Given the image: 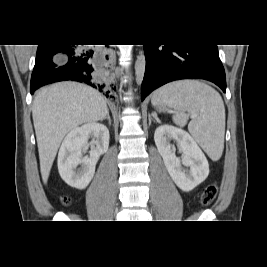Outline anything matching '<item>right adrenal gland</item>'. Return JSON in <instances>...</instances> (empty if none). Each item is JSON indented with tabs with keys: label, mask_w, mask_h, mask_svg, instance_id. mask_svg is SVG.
Masks as SVG:
<instances>
[{
	"label": "right adrenal gland",
	"mask_w": 267,
	"mask_h": 267,
	"mask_svg": "<svg viewBox=\"0 0 267 267\" xmlns=\"http://www.w3.org/2000/svg\"><path fill=\"white\" fill-rule=\"evenodd\" d=\"M104 120H108L109 126H111V118L109 115V111L107 112V116L104 118Z\"/></svg>",
	"instance_id": "2a0ac1e0"
}]
</instances>
